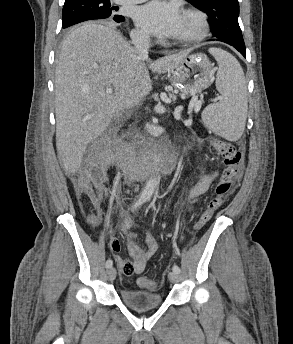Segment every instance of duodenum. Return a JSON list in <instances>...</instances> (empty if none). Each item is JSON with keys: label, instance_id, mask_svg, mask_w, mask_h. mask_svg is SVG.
Wrapping results in <instances>:
<instances>
[{"label": "duodenum", "instance_id": "obj_1", "mask_svg": "<svg viewBox=\"0 0 293 344\" xmlns=\"http://www.w3.org/2000/svg\"><path fill=\"white\" fill-rule=\"evenodd\" d=\"M111 151H112V154L114 155L115 149L112 148ZM160 166L161 167L169 166L171 169H175L177 166V160L175 157V153L171 151L168 158L164 162H162L160 164Z\"/></svg>", "mask_w": 293, "mask_h": 344}]
</instances>
